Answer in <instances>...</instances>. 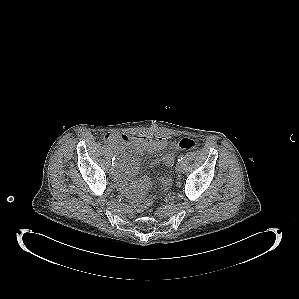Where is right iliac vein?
Here are the masks:
<instances>
[{
	"instance_id": "right-iliac-vein-1",
	"label": "right iliac vein",
	"mask_w": 299,
	"mask_h": 299,
	"mask_svg": "<svg viewBox=\"0 0 299 299\" xmlns=\"http://www.w3.org/2000/svg\"><path fill=\"white\" fill-rule=\"evenodd\" d=\"M110 174H111V175H115V170H114V168H112V167L110 168Z\"/></svg>"
}]
</instances>
